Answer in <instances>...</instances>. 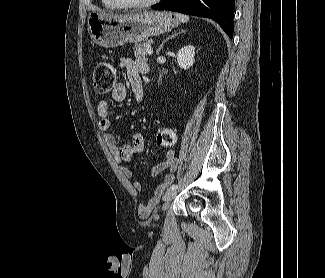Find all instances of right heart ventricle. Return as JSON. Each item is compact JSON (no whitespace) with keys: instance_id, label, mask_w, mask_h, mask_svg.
Wrapping results in <instances>:
<instances>
[{"instance_id":"right-heart-ventricle-1","label":"right heart ventricle","mask_w":325,"mask_h":278,"mask_svg":"<svg viewBox=\"0 0 325 278\" xmlns=\"http://www.w3.org/2000/svg\"><path fill=\"white\" fill-rule=\"evenodd\" d=\"M102 5L107 9V10H119L121 7L117 5L113 0H101Z\"/></svg>"}]
</instances>
